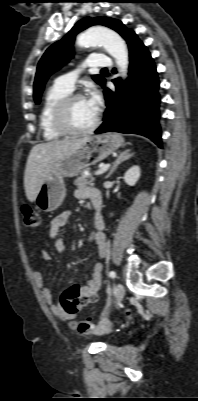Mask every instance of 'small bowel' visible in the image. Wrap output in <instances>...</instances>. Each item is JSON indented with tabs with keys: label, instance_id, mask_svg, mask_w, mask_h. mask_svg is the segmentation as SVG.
<instances>
[{
	"label": "small bowel",
	"instance_id": "c3829d8e",
	"mask_svg": "<svg viewBox=\"0 0 198 401\" xmlns=\"http://www.w3.org/2000/svg\"><path fill=\"white\" fill-rule=\"evenodd\" d=\"M97 190L91 188H80L75 190V196L77 198H90V194ZM99 193V192H98ZM100 194V193H99ZM69 212L64 211L56 216L49 227L48 237L53 243L55 249L61 253H66V246L61 238H59V232L64 229L68 224ZM93 221L96 227L90 235V242L95 244L98 248V253L100 257H104L107 252V239L106 235L103 232V219L99 212L93 215ZM43 256L46 259L50 258V253L47 250L42 251ZM34 278L39 287H43L44 285V277L43 275L35 271ZM74 296L71 299V303H73L77 307V311L69 313L65 311L62 307L55 304L54 296L51 291L47 288H42L41 293L44 299L48 304L52 306L53 312L57 315L58 318L62 320H75L78 312L85 306L90 303H94L98 300L99 292L102 286V264L97 263L94 267L91 279L85 285L74 284ZM78 321L74 323L73 328L82 335L90 334L98 329H101V326H96L93 322L86 323L81 326L77 325Z\"/></svg>",
	"mask_w": 198,
	"mask_h": 401
}]
</instances>
